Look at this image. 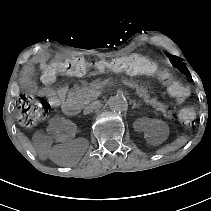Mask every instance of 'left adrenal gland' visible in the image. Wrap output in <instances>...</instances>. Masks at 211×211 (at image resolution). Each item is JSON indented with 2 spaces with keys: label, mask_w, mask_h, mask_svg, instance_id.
I'll return each mask as SVG.
<instances>
[{
  "label": "left adrenal gland",
  "mask_w": 211,
  "mask_h": 211,
  "mask_svg": "<svg viewBox=\"0 0 211 211\" xmlns=\"http://www.w3.org/2000/svg\"><path fill=\"white\" fill-rule=\"evenodd\" d=\"M130 102L133 104V106H132L133 109L140 106V104H137L135 100H132Z\"/></svg>",
  "instance_id": "a2214340"
}]
</instances>
